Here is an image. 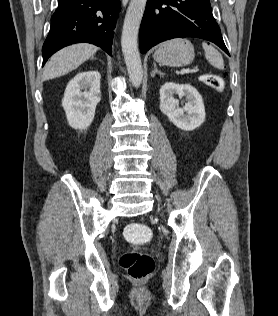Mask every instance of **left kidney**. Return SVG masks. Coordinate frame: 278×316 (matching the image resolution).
Here are the masks:
<instances>
[{
	"label": "left kidney",
	"mask_w": 278,
	"mask_h": 316,
	"mask_svg": "<svg viewBox=\"0 0 278 316\" xmlns=\"http://www.w3.org/2000/svg\"><path fill=\"white\" fill-rule=\"evenodd\" d=\"M175 94L186 98L187 103L183 108L178 107ZM160 110L176 127L185 131L198 128L205 120L203 99L189 84L165 83L160 89Z\"/></svg>",
	"instance_id": "obj_1"
}]
</instances>
